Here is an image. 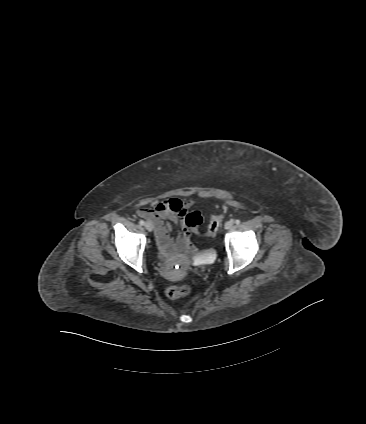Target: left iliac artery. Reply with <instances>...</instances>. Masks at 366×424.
Segmentation results:
<instances>
[{
    "instance_id": "left-iliac-artery-1",
    "label": "left iliac artery",
    "mask_w": 366,
    "mask_h": 424,
    "mask_svg": "<svg viewBox=\"0 0 366 424\" xmlns=\"http://www.w3.org/2000/svg\"><path fill=\"white\" fill-rule=\"evenodd\" d=\"M235 223L238 225V224H240V220L239 219H236L235 220Z\"/></svg>"
}]
</instances>
